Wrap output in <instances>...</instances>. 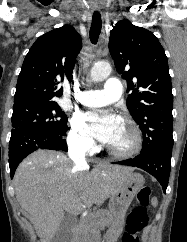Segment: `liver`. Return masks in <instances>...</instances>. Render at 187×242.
Returning <instances> with one entry per match:
<instances>
[{
	"mask_svg": "<svg viewBox=\"0 0 187 242\" xmlns=\"http://www.w3.org/2000/svg\"><path fill=\"white\" fill-rule=\"evenodd\" d=\"M134 169L101 164L92 171L77 166L63 153L38 150L24 159L14 176L16 198L36 227L40 242H51L64 211L79 215L101 205L123 187Z\"/></svg>",
	"mask_w": 187,
	"mask_h": 242,
	"instance_id": "liver-1",
	"label": "liver"
}]
</instances>
